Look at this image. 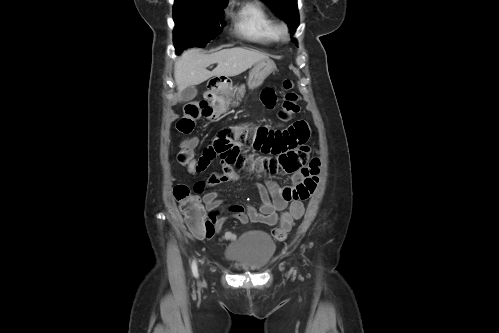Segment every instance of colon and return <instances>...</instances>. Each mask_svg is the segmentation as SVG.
Instances as JSON below:
<instances>
[{"label": "colon", "mask_w": 499, "mask_h": 333, "mask_svg": "<svg viewBox=\"0 0 499 333\" xmlns=\"http://www.w3.org/2000/svg\"><path fill=\"white\" fill-rule=\"evenodd\" d=\"M286 91L278 116L282 121L292 119L300 110V96L294 91V84L291 80L283 83ZM198 115L196 108H189L182 116L176 126L180 134L189 135L195 127V119ZM194 140L183 142L181 150L177 155L178 162L187 166L191 172H197V162L193 158L192 147ZM174 197L184 214L186 225L196 236L210 238L214 233V225L210 216L207 215L201 200L191 193L189 187L183 184L174 187ZM304 213V206L301 201H293L281 217L280 226L272 231V235L277 240H284L292 228L295 221L299 220Z\"/></svg>", "instance_id": "1"}]
</instances>
